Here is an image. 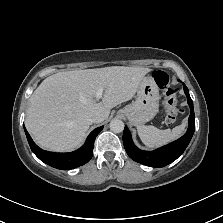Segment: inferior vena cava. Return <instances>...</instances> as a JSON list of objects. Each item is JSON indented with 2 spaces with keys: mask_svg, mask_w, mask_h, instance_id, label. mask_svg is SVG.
I'll use <instances>...</instances> for the list:
<instances>
[{
  "mask_svg": "<svg viewBox=\"0 0 223 223\" xmlns=\"http://www.w3.org/2000/svg\"><path fill=\"white\" fill-rule=\"evenodd\" d=\"M89 117H90V121L93 123H100L104 120L103 114H101L98 111L91 112Z\"/></svg>",
  "mask_w": 223,
  "mask_h": 223,
  "instance_id": "inferior-vena-cava-1",
  "label": "inferior vena cava"
}]
</instances>
